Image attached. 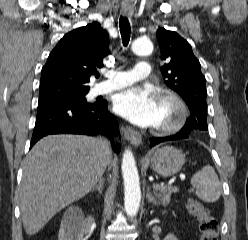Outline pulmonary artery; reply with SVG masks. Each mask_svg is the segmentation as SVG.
Segmentation results:
<instances>
[{
	"label": "pulmonary artery",
	"mask_w": 248,
	"mask_h": 240,
	"mask_svg": "<svg viewBox=\"0 0 248 240\" xmlns=\"http://www.w3.org/2000/svg\"><path fill=\"white\" fill-rule=\"evenodd\" d=\"M150 75V65L146 61H139L134 69L129 71H110L107 80L95 85L92 90L93 95L105 94L139 80L147 79Z\"/></svg>",
	"instance_id": "e3ab8cb5"
}]
</instances>
